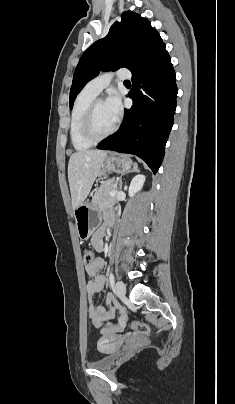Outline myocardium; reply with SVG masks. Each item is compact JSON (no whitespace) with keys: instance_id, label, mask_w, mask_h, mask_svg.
Returning a JSON list of instances; mask_svg holds the SVG:
<instances>
[{"instance_id":"myocardium-1","label":"myocardium","mask_w":235,"mask_h":404,"mask_svg":"<svg viewBox=\"0 0 235 404\" xmlns=\"http://www.w3.org/2000/svg\"><path fill=\"white\" fill-rule=\"evenodd\" d=\"M101 99H95L94 101L91 102L89 105L87 112L85 114L84 120H83V125H82V133L83 136L87 141H89L92 144H96L101 142L102 140L110 137L118 127L117 121H115L114 125L104 134L98 135L95 132V111L96 107L99 102H101Z\"/></svg>"}]
</instances>
